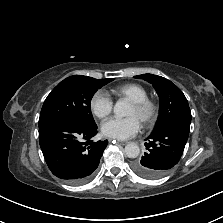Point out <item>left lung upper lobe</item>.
<instances>
[{"label": "left lung upper lobe", "mask_w": 223, "mask_h": 223, "mask_svg": "<svg viewBox=\"0 0 223 223\" xmlns=\"http://www.w3.org/2000/svg\"><path fill=\"white\" fill-rule=\"evenodd\" d=\"M135 78L151 83L158 93L160 100L159 118L153 132L174 124L190 129L191 111L188 101L175 84L164 77L153 74H142L135 76Z\"/></svg>", "instance_id": "obj_1"}]
</instances>
